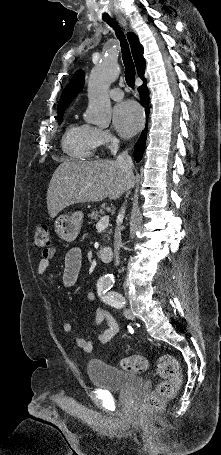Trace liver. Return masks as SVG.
I'll return each instance as SVG.
<instances>
[{
	"instance_id": "6515ba94",
	"label": "liver",
	"mask_w": 221,
	"mask_h": 455,
	"mask_svg": "<svg viewBox=\"0 0 221 455\" xmlns=\"http://www.w3.org/2000/svg\"><path fill=\"white\" fill-rule=\"evenodd\" d=\"M128 173L116 161H64L55 170L48 190L47 209L55 218L64 208L106 197L119 198L127 191Z\"/></svg>"
}]
</instances>
